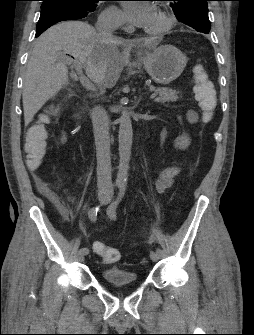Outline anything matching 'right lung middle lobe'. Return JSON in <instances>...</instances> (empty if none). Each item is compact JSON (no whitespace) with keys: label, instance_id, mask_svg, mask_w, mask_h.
<instances>
[{"label":"right lung middle lobe","instance_id":"right-lung-middle-lobe-1","mask_svg":"<svg viewBox=\"0 0 254 335\" xmlns=\"http://www.w3.org/2000/svg\"><path fill=\"white\" fill-rule=\"evenodd\" d=\"M41 9L50 6H65L76 11L88 14L93 12L97 7V2L100 0H42Z\"/></svg>","mask_w":254,"mask_h":335}]
</instances>
